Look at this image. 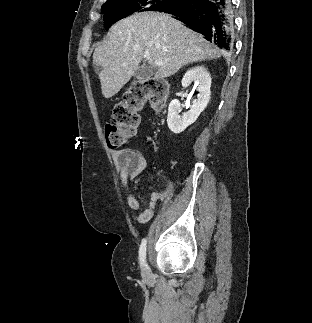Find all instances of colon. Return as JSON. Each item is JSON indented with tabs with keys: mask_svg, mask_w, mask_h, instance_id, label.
<instances>
[{
	"mask_svg": "<svg viewBox=\"0 0 312 323\" xmlns=\"http://www.w3.org/2000/svg\"><path fill=\"white\" fill-rule=\"evenodd\" d=\"M168 97L166 80L160 77L135 79L111 110V122L106 125L105 141L111 148L124 146L135 135L139 112L146 103L161 108Z\"/></svg>",
	"mask_w": 312,
	"mask_h": 323,
	"instance_id": "1",
	"label": "colon"
}]
</instances>
